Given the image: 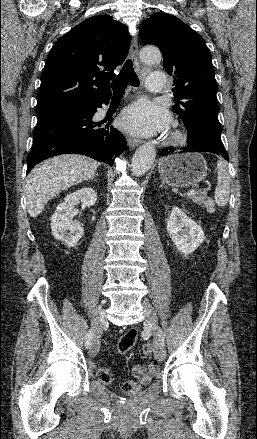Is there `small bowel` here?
<instances>
[{
  "mask_svg": "<svg viewBox=\"0 0 257 439\" xmlns=\"http://www.w3.org/2000/svg\"><path fill=\"white\" fill-rule=\"evenodd\" d=\"M157 373V367L150 365L148 368L142 364H137L133 368L134 376L143 384L149 383Z\"/></svg>",
  "mask_w": 257,
  "mask_h": 439,
  "instance_id": "small-bowel-1",
  "label": "small bowel"
}]
</instances>
